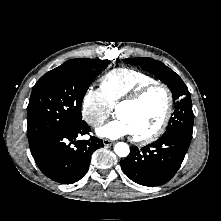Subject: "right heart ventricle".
<instances>
[{"mask_svg": "<svg viewBox=\"0 0 221 221\" xmlns=\"http://www.w3.org/2000/svg\"><path fill=\"white\" fill-rule=\"evenodd\" d=\"M155 80L132 68H116L107 72L100 81L101 91L109 104L114 108L126 96L140 87L153 83Z\"/></svg>", "mask_w": 221, "mask_h": 221, "instance_id": "e07e8e85", "label": "right heart ventricle"}]
</instances>
